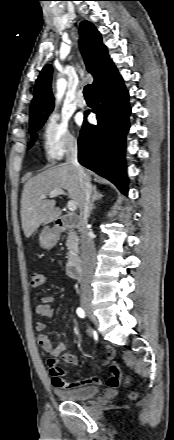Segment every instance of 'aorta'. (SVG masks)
Listing matches in <instances>:
<instances>
[{
  "label": "aorta",
  "mask_w": 174,
  "mask_h": 440,
  "mask_svg": "<svg viewBox=\"0 0 174 440\" xmlns=\"http://www.w3.org/2000/svg\"><path fill=\"white\" fill-rule=\"evenodd\" d=\"M66 88V81L65 79H59L57 81V99H60L65 91Z\"/></svg>",
  "instance_id": "obj_1"
}]
</instances>
